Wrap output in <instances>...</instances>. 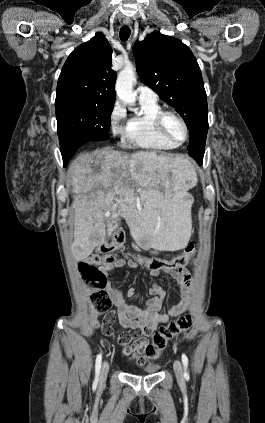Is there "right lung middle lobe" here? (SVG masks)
I'll return each instance as SVG.
<instances>
[{
    "mask_svg": "<svg viewBox=\"0 0 265 423\" xmlns=\"http://www.w3.org/2000/svg\"><path fill=\"white\" fill-rule=\"evenodd\" d=\"M55 109L64 166L76 152L70 149V143L74 139L81 138L87 143L110 138V116L113 106L66 99L55 101Z\"/></svg>",
    "mask_w": 265,
    "mask_h": 423,
    "instance_id": "obj_1",
    "label": "right lung middle lobe"
}]
</instances>
